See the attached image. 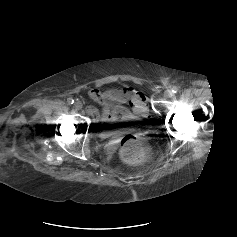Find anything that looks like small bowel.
I'll return each mask as SVG.
<instances>
[{
  "mask_svg": "<svg viewBox=\"0 0 237 237\" xmlns=\"http://www.w3.org/2000/svg\"><path fill=\"white\" fill-rule=\"evenodd\" d=\"M89 96L102 107L101 115L93 107L88 109L96 123L114 124L132 118V112L125 106L127 103L130 104L135 114L144 115L148 111L144 95L131 87L106 92L91 89Z\"/></svg>",
  "mask_w": 237,
  "mask_h": 237,
  "instance_id": "c3829d8e",
  "label": "small bowel"
}]
</instances>
